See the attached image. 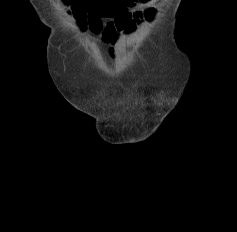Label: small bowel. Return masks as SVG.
Returning <instances> with one entry per match:
<instances>
[{
  "instance_id": "obj_1",
  "label": "small bowel",
  "mask_w": 237,
  "mask_h": 232,
  "mask_svg": "<svg viewBox=\"0 0 237 232\" xmlns=\"http://www.w3.org/2000/svg\"><path fill=\"white\" fill-rule=\"evenodd\" d=\"M151 0H144L142 4L144 9H138L135 12H124L109 21L103 31V41L114 45L118 42L123 33L134 31L137 26L151 20L154 16V8L148 6ZM113 51V48H110Z\"/></svg>"
}]
</instances>
